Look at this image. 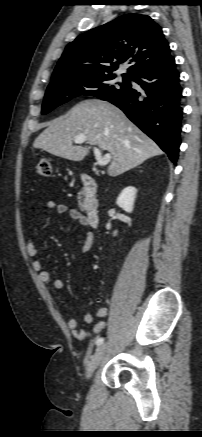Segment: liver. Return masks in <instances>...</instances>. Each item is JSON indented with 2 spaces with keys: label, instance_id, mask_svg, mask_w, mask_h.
Returning a JSON list of instances; mask_svg holds the SVG:
<instances>
[{
  "label": "liver",
  "instance_id": "liver-1",
  "mask_svg": "<svg viewBox=\"0 0 202 437\" xmlns=\"http://www.w3.org/2000/svg\"><path fill=\"white\" fill-rule=\"evenodd\" d=\"M86 136L111 154L108 175L116 177L145 160L161 155L159 146L116 106L97 99L85 100L66 115L52 120L35 139L34 148L72 161H81L90 147L73 146L77 135Z\"/></svg>",
  "mask_w": 202,
  "mask_h": 437
}]
</instances>
